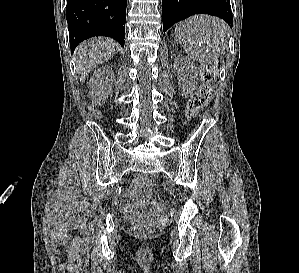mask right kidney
I'll list each match as a JSON object with an SVG mask.
<instances>
[{"mask_svg":"<svg viewBox=\"0 0 299 273\" xmlns=\"http://www.w3.org/2000/svg\"><path fill=\"white\" fill-rule=\"evenodd\" d=\"M113 74L112 68L106 66L94 72L89 81V95L100 103L104 101L112 90V82H105V78Z\"/></svg>","mask_w":299,"mask_h":273,"instance_id":"1","label":"right kidney"}]
</instances>
